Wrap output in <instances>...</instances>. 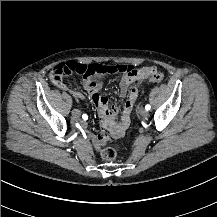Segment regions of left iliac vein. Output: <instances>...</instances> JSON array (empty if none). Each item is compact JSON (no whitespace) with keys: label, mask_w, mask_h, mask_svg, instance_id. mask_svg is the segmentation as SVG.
Segmentation results:
<instances>
[{"label":"left iliac vein","mask_w":217,"mask_h":217,"mask_svg":"<svg viewBox=\"0 0 217 217\" xmlns=\"http://www.w3.org/2000/svg\"><path fill=\"white\" fill-rule=\"evenodd\" d=\"M148 114H149L148 110H146V109H144V108H141V109H140V115H141L142 117H146V116H148Z\"/></svg>","instance_id":"obj_1"}]
</instances>
